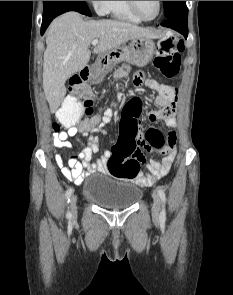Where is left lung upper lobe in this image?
I'll return each mask as SVG.
<instances>
[{"mask_svg":"<svg viewBox=\"0 0 233 295\" xmlns=\"http://www.w3.org/2000/svg\"><path fill=\"white\" fill-rule=\"evenodd\" d=\"M163 4L167 19L188 12L185 1H163Z\"/></svg>","mask_w":233,"mask_h":295,"instance_id":"obj_1","label":"left lung upper lobe"}]
</instances>
